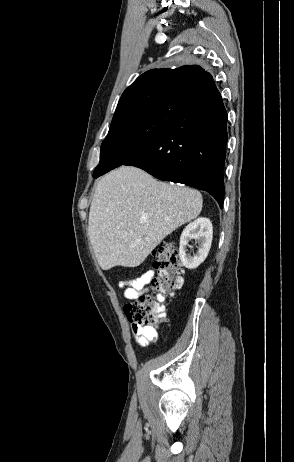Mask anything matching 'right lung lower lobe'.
<instances>
[{"mask_svg":"<svg viewBox=\"0 0 294 462\" xmlns=\"http://www.w3.org/2000/svg\"><path fill=\"white\" fill-rule=\"evenodd\" d=\"M184 97L186 105L174 120L123 165L205 190L222 208L227 144V112L222 97L215 83L202 93H186Z\"/></svg>","mask_w":294,"mask_h":462,"instance_id":"1","label":"right lung lower lobe"}]
</instances>
